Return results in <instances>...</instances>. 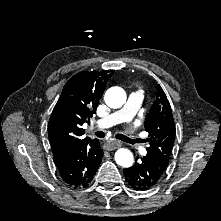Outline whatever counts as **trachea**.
<instances>
[{"label": "trachea", "mask_w": 221, "mask_h": 221, "mask_svg": "<svg viewBox=\"0 0 221 221\" xmlns=\"http://www.w3.org/2000/svg\"><path fill=\"white\" fill-rule=\"evenodd\" d=\"M95 135H96L97 137L103 138V137L105 136V133H104L103 131H98V132L95 133ZM116 138H118V139H120V140H123V141H125V140L127 139V138H126L124 135H122V134H117V135H116Z\"/></svg>", "instance_id": "3493384b"}]
</instances>
